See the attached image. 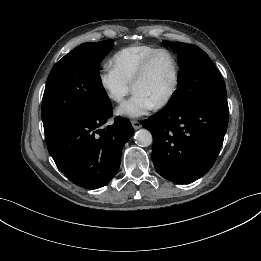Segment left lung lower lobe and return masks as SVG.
<instances>
[{
    "label": "left lung lower lobe",
    "mask_w": 261,
    "mask_h": 261,
    "mask_svg": "<svg viewBox=\"0 0 261 261\" xmlns=\"http://www.w3.org/2000/svg\"><path fill=\"white\" fill-rule=\"evenodd\" d=\"M226 96L175 111L163 108L143 121L153 136L152 160L157 172L186 184L206 174L223 144L228 125Z\"/></svg>",
    "instance_id": "0a47b994"
}]
</instances>
